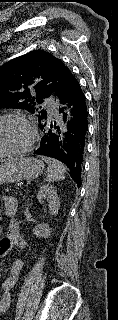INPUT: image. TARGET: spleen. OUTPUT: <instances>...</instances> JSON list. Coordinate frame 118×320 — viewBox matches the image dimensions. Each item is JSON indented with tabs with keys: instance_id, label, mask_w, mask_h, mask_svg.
Instances as JSON below:
<instances>
[{
	"instance_id": "obj_1",
	"label": "spleen",
	"mask_w": 118,
	"mask_h": 320,
	"mask_svg": "<svg viewBox=\"0 0 118 320\" xmlns=\"http://www.w3.org/2000/svg\"><path fill=\"white\" fill-rule=\"evenodd\" d=\"M41 159L45 161L48 165L46 177L47 182L51 183L65 179L67 167L63 163L56 159L45 156H42Z\"/></svg>"
}]
</instances>
